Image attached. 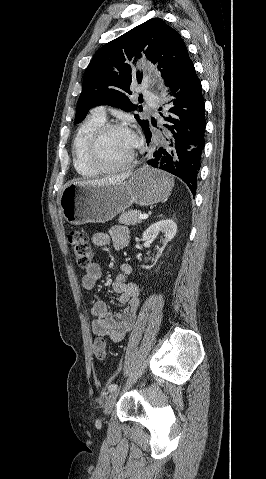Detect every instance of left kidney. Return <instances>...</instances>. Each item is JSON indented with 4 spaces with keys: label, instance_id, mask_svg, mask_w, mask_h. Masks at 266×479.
<instances>
[{
    "label": "left kidney",
    "instance_id": "left-kidney-1",
    "mask_svg": "<svg viewBox=\"0 0 266 479\" xmlns=\"http://www.w3.org/2000/svg\"><path fill=\"white\" fill-rule=\"evenodd\" d=\"M162 232L164 234L163 245L171 241L177 232V225L173 220L166 219L152 224L144 233L143 240H150L153 236Z\"/></svg>",
    "mask_w": 266,
    "mask_h": 479
}]
</instances>
